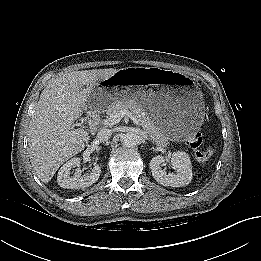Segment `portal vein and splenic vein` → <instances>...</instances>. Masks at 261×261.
<instances>
[{"label": "portal vein and splenic vein", "mask_w": 261, "mask_h": 261, "mask_svg": "<svg viewBox=\"0 0 261 261\" xmlns=\"http://www.w3.org/2000/svg\"><path fill=\"white\" fill-rule=\"evenodd\" d=\"M125 116L129 117L135 124L139 125V121L137 120V118L128 110L116 111L110 117H108L107 119H104L102 121V124L107 125V126L115 125L116 123H119L120 120Z\"/></svg>", "instance_id": "obj_1"}]
</instances>
